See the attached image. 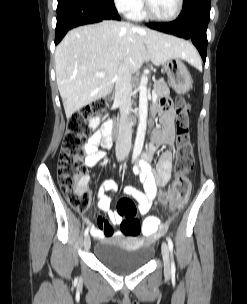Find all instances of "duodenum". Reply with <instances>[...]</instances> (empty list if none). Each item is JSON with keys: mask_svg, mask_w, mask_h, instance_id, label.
<instances>
[{"mask_svg": "<svg viewBox=\"0 0 247 304\" xmlns=\"http://www.w3.org/2000/svg\"><path fill=\"white\" fill-rule=\"evenodd\" d=\"M113 120H118V115H113ZM113 126L115 127L114 129H113V131H112V135H111V138H118L119 136L117 135L118 133V129L116 128L117 126H118V123L115 121L114 123H113Z\"/></svg>", "mask_w": 247, "mask_h": 304, "instance_id": "duodenum-1", "label": "duodenum"}]
</instances>
